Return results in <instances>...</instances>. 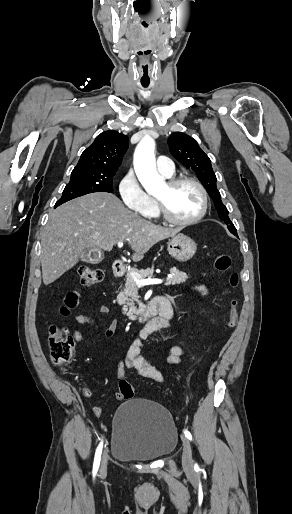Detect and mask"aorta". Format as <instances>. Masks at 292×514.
Instances as JSON below:
<instances>
[{"label": "aorta", "instance_id": "1", "mask_svg": "<svg viewBox=\"0 0 292 514\" xmlns=\"http://www.w3.org/2000/svg\"><path fill=\"white\" fill-rule=\"evenodd\" d=\"M155 142L152 138H143L139 142L134 154L135 174L148 194L154 196L157 188L164 186V178L159 176L154 164Z\"/></svg>", "mask_w": 292, "mask_h": 514}]
</instances>
